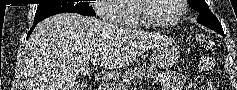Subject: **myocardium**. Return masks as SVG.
Listing matches in <instances>:
<instances>
[{
  "instance_id": "f54148a6",
  "label": "myocardium",
  "mask_w": 237,
  "mask_h": 90,
  "mask_svg": "<svg viewBox=\"0 0 237 90\" xmlns=\"http://www.w3.org/2000/svg\"><path fill=\"white\" fill-rule=\"evenodd\" d=\"M143 1H149V0H138V1H133L135 8H136V16L137 18L140 20V22L142 23V25L144 26V28H172L175 27L176 25H178L180 23V21L182 20L185 11H186V6L183 3H188V0H176L175 4L178 7V12H177V16L175 17V19L171 22H165V23H158L155 21H152L150 19H148L147 17H145L143 15V13L141 12V3H143Z\"/></svg>"
}]
</instances>
